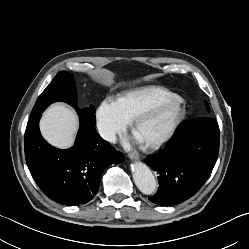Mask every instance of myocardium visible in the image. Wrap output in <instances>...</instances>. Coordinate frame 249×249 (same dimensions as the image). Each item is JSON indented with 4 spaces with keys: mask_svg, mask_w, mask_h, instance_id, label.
I'll use <instances>...</instances> for the list:
<instances>
[{
    "mask_svg": "<svg viewBox=\"0 0 249 249\" xmlns=\"http://www.w3.org/2000/svg\"><path fill=\"white\" fill-rule=\"evenodd\" d=\"M171 103H174L176 107V113H175L174 120L164 134H162L160 137L152 141L145 142L149 148H158L164 145L165 143H167L172 138V136L176 132L177 128L179 127L184 117V113H185L184 99L178 95H173L169 98L162 99L148 106L146 109L140 112L137 115V117L133 120V130L135 133H137V128L139 127L141 123H143L146 119L152 116L158 109H160L163 106L169 105Z\"/></svg>",
    "mask_w": 249,
    "mask_h": 249,
    "instance_id": "obj_1",
    "label": "myocardium"
}]
</instances>
